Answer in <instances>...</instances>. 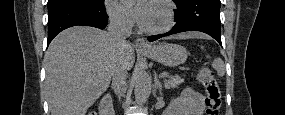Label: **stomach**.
Instances as JSON below:
<instances>
[{
  "instance_id": "obj_1",
  "label": "stomach",
  "mask_w": 285,
  "mask_h": 115,
  "mask_svg": "<svg viewBox=\"0 0 285 115\" xmlns=\"http://www.w3.org/2000/svg\"><path fill=\"white\" fill-rule=\"evenodd\" d=\"M142 53L168 67H175L183 64L188 56V53L183 46L169 43L158 44L153 46L151 50L142 51Z\"/></svg>"
}]
</instances>
